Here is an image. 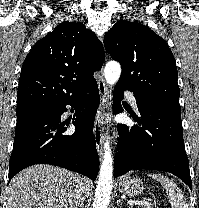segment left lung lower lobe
I'll return each mask as SVG.
<instances>
[{"instance_id":"0a47b994","label":"left lung lower lobe","mask_w":199,"mask_h":208,"mask_svg":"<svg viewBox=\"0 0 199 208\" xmlns=\"http://www.w3.org/2000/svg\"><path fill=\"white\" fill-rule=\"evenodd\" d=\"M124 90L129 89L118 84L114 88L115 114L123 111L120 101L124 97ZM135 99L140 118L133 117L141 126L130 128L118 124L120 141L117 146L120 152L114 160V177L130 170H161L178 176L192 190L183 140L181 108L150 104L137 96Z\"/></svg>"}]
</instances>
